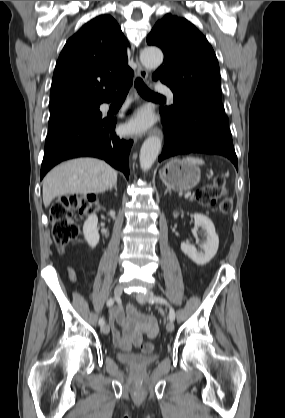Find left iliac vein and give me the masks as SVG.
I'll list each match as a JSON object with an SVG mask.
<instances>
[{
	"mask_svg": "<svg viewBox=\"0 0 285 418\" xmlns=\"http://www.w3.org/2000/svg\"><path fill=\"white\" fill-rule=\"evenodd\" d=\"M152 297H154V294L150 291H147L145 293H138L136 294V299L141 302V303H145L147 302L149 299H151ZM166 330L168 332H172L174 330V323L173 321H169L166 325Z\"/></svg>",
	"mask_w": 285,
	"mask_h": 418,
	"instance_id": "obj_1",
	"label": "left iliac vein"
}]
</instances>
